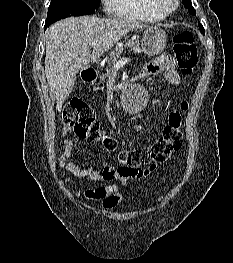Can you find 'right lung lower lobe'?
Masks as SVG:
<instances>
[{
  "label": "right lung lower lobe",
  "instance_id": "98d812e1",
  "mask_svg": "<svg viewBox=\"0 0 233 263\" xmlns=\"http://www.w3.org/2000/svg\"><path fill=\"white\" fill-rule=\"evenodd\" d=\"M52 22L46 21V27H48Z\"/></svg>",
  "mask_w": 233,
  "mask_h": 263
}]
</instances>
